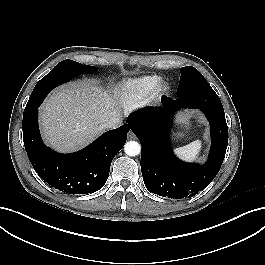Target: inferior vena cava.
I'll return each instance as SVG.
<instances>
[{"instance_id":"602c4592","label":"inferior vena cava","mask_w":265,"mask_h":265,"mask_svg":"<svg viewBox=\"0 0 265 265\" xmlns=\"http://www.w3.org/2000/svg\"><path fill=\"white\" fill-rule=\"evenodd\" d=\"M122 120L120 116H114L110 118L105 124L106 129H115L121 124Z\"/></svg>"}]
</instances>
